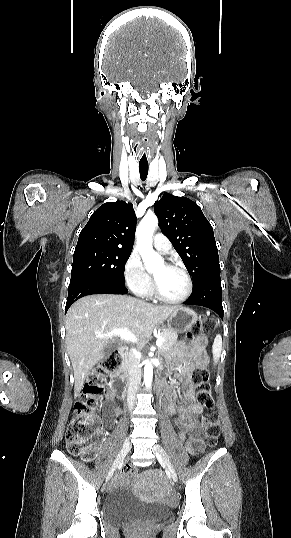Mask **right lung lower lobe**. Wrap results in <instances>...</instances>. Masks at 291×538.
I'll use <instances>...</instances> for the list:
<instances>
[{
  "label": "right lung lower lobe",
  "instance_id": "obj_1",
  "mask_svg": "<svg viewBox=\"0 0 291 538\" xmlns=\"http://www.w3.org/2000/svg\"><path fill=\"white\" fill-rule=\"evenodd\" d=\"M125 286L95 281H83L69 285L65 311L79 298L91 294H126Z\"/></svg>",
  "mask_w": 291,
  "mask_h": 538
}]
</instances>
